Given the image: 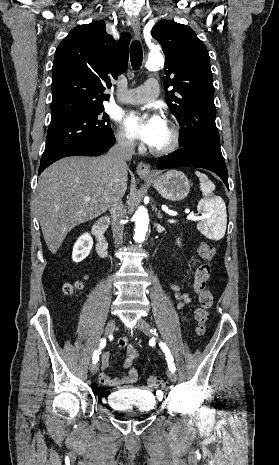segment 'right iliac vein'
<instances>
[{"mask_svg":"<svg viewBox=\"0 0 279 465\" xmlns=\"http://www.w3.org/2000/svg\"><path fill=\"white\" fill-rule=\"evenodd\" d=\"M115 325H116V322H115L114 319H110V320L108 321V323H107V325H106V327H105V335H106V336H109V335H111V334L114 332V330H115ZM98 369H99L98 363H93V364L90 365V372H91V374H93V375L96 374L97 371H98Z\"/></svg>","mask_w":279,"mask_h":465,"instance_id":"right-iliac-vein-1","label":"right iliac vein"}]
</instances>
